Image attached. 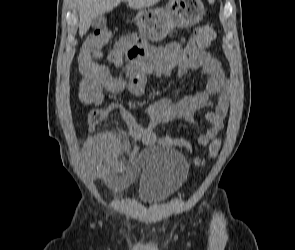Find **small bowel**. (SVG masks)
<instances>
[{
	"mask_svg": "<svg viewBox=\"0 0 295 250\" xmlns=\"http://www.w3.org/2000/svg\"><path fill=\"white\" fill-rule=\"evenodd\" d=\"M100 52L94 60L91 72H82L79 81V99L85 105L100 106L104 92L122 93L125 90L134 96H141L148 76L168 77L177 68L179 75L201 69L208 75L205 90L179 100L162 98L149 104V123L142 127L120 104L113 103L106 108L108 113L119 111L130 133L138 141L131 148L135 155L141 146H176L191 150V144L184 138L170 135L157 136L156 125L175 119H184L195 124L194 114L203 108H211L205 115L208 128L197 136L198 146L205 147L217 139L224 128L228 114L230 94L227 80L220 62L209 52L199 48L194 41L174 40L163 47L149 45L139 34L122 37L109 51L107 60L115 68L125 66L124 77L115 76L113 70L99 60ZM215 97V99H213ZM120 141L113 132H104L88 139L83 148V156L88 174L93 179L104 180L111 188H124L136 175L135 171L119 172L117 156L121 152Z\"/></svg>",
	"mask_w": 295,
	"mask_h": 250,
	"instance_id": "obj_1",
	"label": "small bowel"
}]
</instances>
